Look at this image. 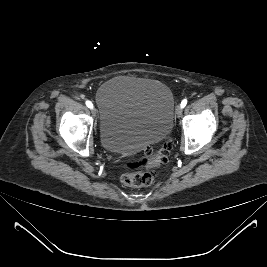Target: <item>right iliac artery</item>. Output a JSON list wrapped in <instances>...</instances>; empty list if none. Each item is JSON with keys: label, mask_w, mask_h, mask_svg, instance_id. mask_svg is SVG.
Here are the masks:
<instances>
[{"label": "right iliac artery", "mask_w": 267, "mask_h": 267, "mask_svg": "<svg viewBox=\"0 0 267 267\" xmlns=\"http://www.w3.org/2000/svg\"><path fill=\"white\" fill-rule=\"evenodd\" d=\"M86 105H87L89 108H92V107H93V104H92L90 101H86Z\"/></svg>", "instance_id": "82829eb1"}]
</instances>
